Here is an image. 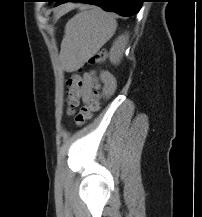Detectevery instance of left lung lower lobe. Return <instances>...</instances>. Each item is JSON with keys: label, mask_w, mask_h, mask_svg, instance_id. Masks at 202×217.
<instances>
[{"label": "left lung lower lobe", "mask_w": 202, "mask_h": 217, "mask_svg": "<svg viewBox=\"0 0 202 217\" xmlns=\"http://www.w3.org/2000/svg\"><path fill=\"white\" fill-rule=\"evenodd\" d=\"M54 2H56L55 6L66 2L88 3L97 5L106 11L118 13L122 16H132L139 12L143 0H55Z\"/></svg>", "instance_id": "0a47b994"}]
</instances>
